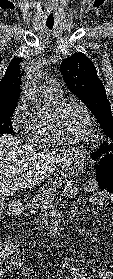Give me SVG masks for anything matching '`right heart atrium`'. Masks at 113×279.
Returning <instances> with one entry per match:
<instances>
[{"mask_svg":"<svg viewBox=\"0 0 113 279\" xmlns=\"http://www.w3.org/2000/svg\"><path fill=\"white\" fill-rule=\"evenodd\" d=\"M11 125L15 132L22 136H30L33 126L34 117L30 114L27 100L23 96L19 99L11 116Z\"/></svg>","mask_w":113,"mask_h":279,"instance_id":"right-heart-atrium-1","label":"right heart atrium"}]
</instances>
